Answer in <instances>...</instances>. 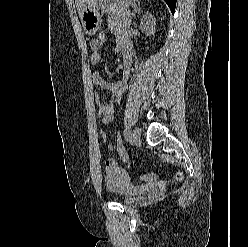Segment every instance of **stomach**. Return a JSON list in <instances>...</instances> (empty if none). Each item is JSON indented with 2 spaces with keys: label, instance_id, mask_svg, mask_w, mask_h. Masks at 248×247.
Masks as SVG:
<instances>
[{
  "label": "stomach",
  "instance_id": "stomach-1",
  "mask_svg": "<svg viewBox=\"0 0 248 247\" xmlns=\"http://www.w3.org/2000/svg\"><path fill=\"white\" fill-rule=\"evenodd\" d=\"M138 0H90L80 14L81 23L85 33L89 36L94 35L99 29L102 19V12H110L114 9H126Z\"/></svg>",
  "mask_w": 248,
  "mask_h": 247
}]
</instances>
